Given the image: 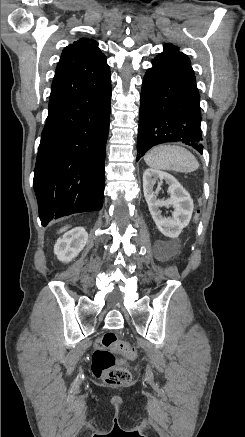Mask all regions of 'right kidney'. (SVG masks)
I'll return each mask as SVG.
<instances>
[{
    "mask_svg": "<svg viewBox=\"0 0 245 437\" xmlns=\"http://www.w3.org/2000/svg\"><path fill=\"white\" fill-rule=\"evenodd\" d=\"M88 234L83 227L74 228L59 238L54 246V254L62 262H70L84 248Z\"/></svg>",
    "mask_w": 245,
    "mask_h": 437,
    "instance_id": "1",
    "label": "right kidney"
}]
</instances>
